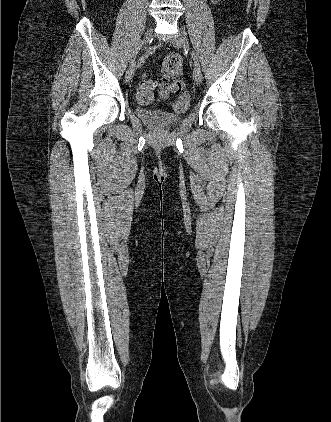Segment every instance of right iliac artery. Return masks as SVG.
<instances>
[{
	"instance_id": "1",
	"label": "right iliac artery",
	"mask_w": 331,
	"mask_h": 422,
	"mask_svg": "<svg viewBox=\"0 0 331 422\" xmlns=\"http://www.w3.org/2000/svg\"><path fill=\"white\" fill-rule=\"evenodd\" d=\"M142 48H143V45L140 43L138 45V48L133 52V58L130 61L131 65H134L136 63L137 58H138V54L142 51Z\"/></svg>"
}]
</instances>
